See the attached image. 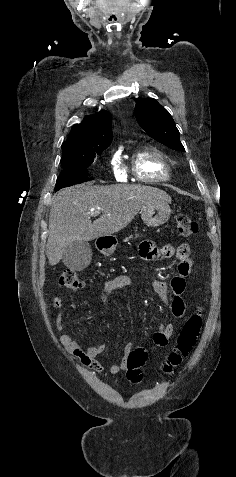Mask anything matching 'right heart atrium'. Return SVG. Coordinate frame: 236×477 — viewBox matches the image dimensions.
Wrapping results in <instances>:
<instances>
[{
  "label": "right heart atrium",
  "instance_id": "d8ad5b80",
  "mask_svg": "<svg viewBox=\"0 0 236 477\" xmlns=\"http://www.w3.org/2000/svg\"><path fill=\"white\" fill-rule=\"evenodd\" d=\"M111 166H112V169L114 171L115 176L119 180H124V178L126 176V172H125L124 168L121 166V164H120V162L117 158L112 159Z\"/></svg>",
  "mask_w": 236,
  "mask_h": 477
}]
</instances>
